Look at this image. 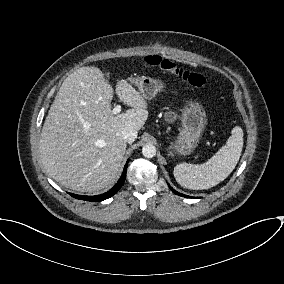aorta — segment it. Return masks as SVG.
I'll use <instances>...</instances> for the list:
<instances>
[{"mask_svg": "<svg viewBox=\"0 0 284 284\" xmlns=\"http://www.w3.org/2000/svg\"><path fill=\"white\" fill-rule=\"evenodd\" d=\"M142 154L145 158H153L156 155V147L147 143L142 147Z\"/></svg>", "mask_w": 284, "mask_h": 284, "instance_id": "aorta-1", "label": "aorta"}]
</instances>
